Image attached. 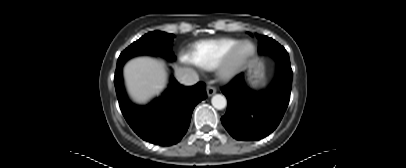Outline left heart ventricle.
<instances>
[{
	"instance_id": "1",
	"label": "left heart ventricle",
	"mask_w": 406,
	"mask_h": 168,
	"mask_svg": "<svg viewBox=\"0 0 406 168\" xmlns=\"http://www.w3.org/2000/svg\"><path fill=\"white\" fill-rule=\"evenodd\" d=\"M250 50H251V47L247 45V46H245V47L243 48L242 54H247Z\"/></svg>"
}]
</instances>
